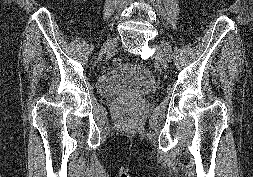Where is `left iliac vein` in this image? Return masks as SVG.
Returning <instances> with one entry per match:
<instances>
[{
  "mask_svg": "<svg viewBox=\"0 0 253 177\" xmlns=\"http://www.w3.org/2000/svg\"><path fill=\"white\" fill-rule=\"evenodd\" d=\"M155 49V58L160 62L163 68H168V64L172 58V50L168 43H163L161 46L153 44Z\"/></svg>",
  "mask_w": 253,
  "mask_h": 177,
  "instance_id": "left-iliac-vein-1",
  "label": "left iliac vein"
}]
</instances>
